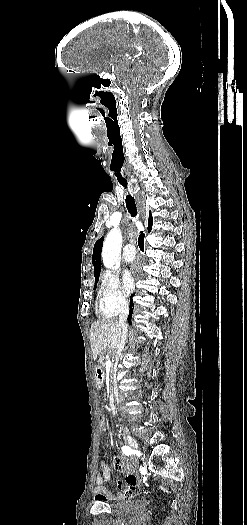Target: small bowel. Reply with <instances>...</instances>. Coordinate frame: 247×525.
Listing matches in <instances>:
<instances>
[{
  "label": "small bowel",
  "mask_w": 247,
  "mask_h": 525,
  "mask_svg": "<svg viewBox=\"0 0 247 525\" xmlns=\"http://www.w3.org/2000/svg\"><path fill=\"white\" fill-rule=\"evenodd\" d=\"M112 467L114 469H120L122 467V459L119 456L114 457L112 462ZM122 473H125V470H122ZM111 479V472L108 463L105 460H100L99 463V470L95 477V483H96V498L103 500L107 499L106 496V489L104 488L103 484L106 481H109ZM115 479H118V476H115ZM138 476L134 472L127 473L125 475V478H121L116 482V490L110 489L108 491V494L112 499H123L126 497V492L131 494V496L136 497L139 494L138 489H136L139 485L138 482Z\"/></svg>",
  "instance_id": "small-bowel-1"
}]
</instances>
